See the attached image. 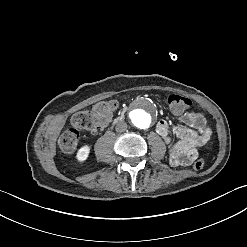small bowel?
Masks as SVG:
<instances>
[{
	"mask_svg": "<svg viewBox=\"0 0 247 247\" xmlns=\"http://www.w3.org/2000/svg\"><path fill=\"white\" fill-rule=\"evenodd\" d=\"M179 119L184 125L171 126L165 120H160L156 125L157 133L168 145L169 162L175 167L192 164L199 155V149L208 142L211 136L206 134L209 128L201 113L193 111L179 113ZM170 133L177 136L178 141H172Z\"/></svg>",
	"mask_w": 247,
	"mask_h": 247,
	"instance_id": "1",
	"label": "small bowel"
}]
</instances>
